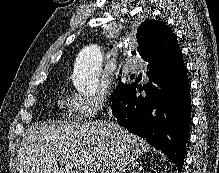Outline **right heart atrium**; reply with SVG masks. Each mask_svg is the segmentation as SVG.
<instances>
[{"mask_svg": "<svg viewBox=\"0 0 219 173\" xmlns=\"http://www.w3.org/2000/svg\"><path fill=\"white\" fill-rule=\"evenodd\" d=\"M106 103L107 91L105 89L91 96L73 91L69 98V112L78 119L85 120L103 110Z\"/></svg>", "mask_w": 219, "mask_h": 173, "instance_id": "obj_1", "label": "right heart atrium"}]
</instances>
